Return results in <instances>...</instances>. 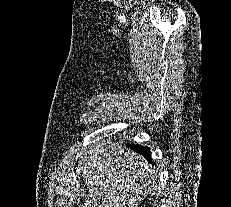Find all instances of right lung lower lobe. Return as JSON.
<instances>
[{"instance_id":"right-lung-lower-lobe-1","label":"right lung lower lobe","mask_w":231,"mask_h":207,"mask_svg":"<svg viewBox=\"0 0 231 207\" xmlns=\"http://www.w3.org/2000/svg\"><path fill=\"white\" fill-rule=\"evenodd\" d=\"M132 149L135 150L136 152L140 153L141 155H143L146 159L150 160V151L148 147H144L141 145H131Z\"/></svg>"}]
</instances>
